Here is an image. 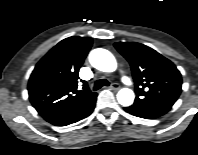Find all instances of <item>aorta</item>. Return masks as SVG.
I'll use <instances>...</instances> for the list:
<instances>
[{
    "label": "aorta",
    "mask_w": 198,
    "mask_h": 155,
    "mask_svg": "<svg viewBox=\"0 0 198 155\" xmlns=\"http://www.w3.org/2000/svg\"><path fill=\"white\" fill-rule=\"evenodd\" d=\"M90 64L97 70L113 72L117 68V62L113 54L102 48L94 49L89 54ZM134 92L129 88H122L117 93V100L122 106H130L134 102Z\"/></svg>",
    "instance_id": "1"
}]
</instances>
